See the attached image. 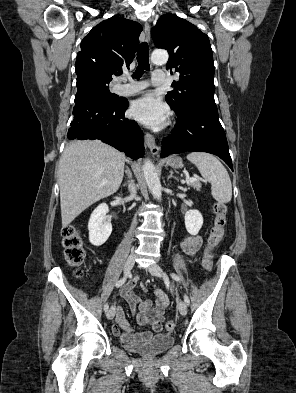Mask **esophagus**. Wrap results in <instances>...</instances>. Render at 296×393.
I'll list each match as a JSON object with an SVG mask.
<instances>
[{"label": "esophagus", "instance_id": "34e87169", "mask_svg": "<svg viewBox=\"0 0 296 393\" xmlns=\"http://www.w3.org/2000/svg\"><path fill=\"white\" fill-rule=\"evenodd\" d=\"M143 39L146 42L150 41V26L148 23H146L145 27H144ZM144 139H145V143L148 146V148L150 149L151 153L154 155L158 154L159 147L156 145L154 136L151 135L150 133H146Z\"/></svg>", "mask_w": 296, "mask_h": 393}]
</instances>
